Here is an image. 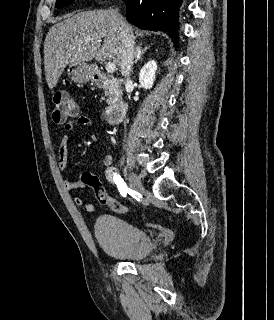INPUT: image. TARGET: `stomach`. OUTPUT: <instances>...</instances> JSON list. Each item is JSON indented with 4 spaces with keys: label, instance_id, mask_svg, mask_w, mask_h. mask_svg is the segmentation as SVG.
Returning <instances> with one entry per match:
<instances>
[{
    "label": "stomach",
    "instance_id": "1",
    "mask_svg": "<svg viewBox=\"0 0 274 320\" xmlns=\"http://www.w3.org/2000/svg\"><path fill=\"white\" fill-rule=\"evenodd\" d=\"M70 66L72 70L69 72V76H71V80H74L77 84L89 82L95 74V68L94 66H90V64H70Z\"/></svg>",
    "mask_w": 274,
    "mask_h": 320
}]
</instances>
